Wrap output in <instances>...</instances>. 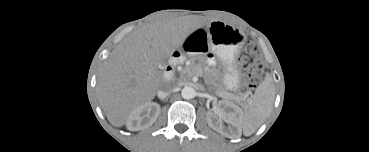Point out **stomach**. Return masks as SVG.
<instances>
[{"mask_svg": "<svg viewBox=\"0 0 369 152\" xmlns=\"http://www.w3.org/2000/svg\"><path fill=\"white\" fill-rule=\"evenodd\" d=\"M207 39L212 52L224 63L223 83L228 90H237L240 80L234 65L235 55L245 41V35L221 21L209 24Z\"/></svg>", "mask_w": 369, "mask_h": 152, "instance_id": "stomach-1", "label": "stomach"}]
</instances>
